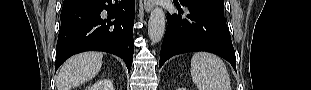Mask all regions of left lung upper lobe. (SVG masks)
Masks as SVG:
<instances>
[{"label": "left lung upper lobe", "mask_w": 311, "mask_h": 90, "mask_svg": "<svg viewBox=\"0 0 311 90\" xmlns=\"http://www.w3.org/2000/svg\"><path fill=\"white\" fill-rule=\"evenodd\" d=\"M182 4H193L224 14L223 0H180Z\"/></svg>", "instance_id": "5c2ea615"}]
</instances>
